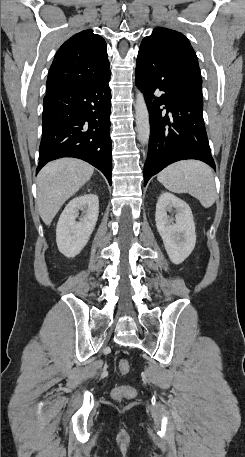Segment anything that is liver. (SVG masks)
<instances>
[{
    "instance_id": "1",
    "label": "liver",
    "mask_w": 245,
    "mask_h": 457,
    "mask_svg": "<svg viewBox=\"0 0 245 457\" xmlns=\"http://www.w3.org/2000/svg\"><path fill=\"white\" fill-rule=\"evenodd\" d=\"M93 172V166L79 158H59L41 168L37 176V206L45 224L52 222L60 206L89 180Z\"/></svg>"
}]
</instances>
